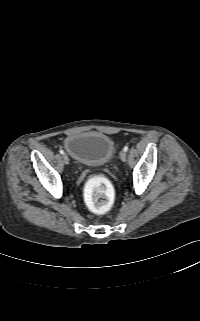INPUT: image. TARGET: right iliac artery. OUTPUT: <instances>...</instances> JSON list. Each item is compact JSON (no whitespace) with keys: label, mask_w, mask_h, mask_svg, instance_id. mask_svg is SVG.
I'll list each match as a JSON object with an SVG mask.
<instances>
[{"label":"right iliac artery","mask_w":200,"mask_h":321,"mask_svg":"<svg viewBox=\"0 0 200 321\" xmlns=\"http://www.w3.org/2000/svg\"><path fill=\"white\" fill-rule=\"evenodd\" d=\"M59 152H60V154H64V151L62 149Z\"/></svg>","instance_id":"82829eb1"}]
</instances>
